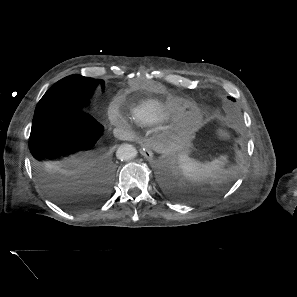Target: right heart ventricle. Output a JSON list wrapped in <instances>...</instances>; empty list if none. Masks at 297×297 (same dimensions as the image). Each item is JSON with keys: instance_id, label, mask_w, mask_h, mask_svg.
<instances>
[{"instance_id": "right-heart-ventricle-1", "label": "right heart ventricle", "mask_w": 297, "mask_h": 297, "mask_svg": "<svg viewBox=\"0 0 297 297\" xmlns=\"http://www.w3.org/2000/svg\"><path fill=\"white\" fill-rule=\"evenodd\" d=\"M175 115V110L157 100H146L131 110L132 120L139 125H154L169 121Z\"/></svg>"}]
</instances>
